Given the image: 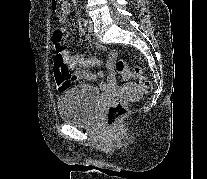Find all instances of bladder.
<instances>
[{
	"label": "bladder",
	"mask_w": 207,
	"mask_h": 179,
	"mask_svg": "<svg viewBox=\"0 0 207 179\" xmlns=\"http://www.w3.org/2000/svg\"><path fill=\"white\" fill-rule=\"evenodd\" d=\"M100 106V93L85 84L66 88L58 98L61 120L76 127L92 125L99 114Z\"/></svg>",
	"instance_id": "1"
}]
</instances>
